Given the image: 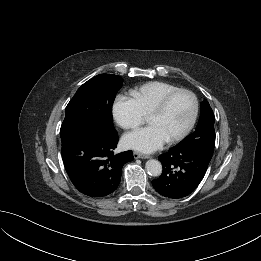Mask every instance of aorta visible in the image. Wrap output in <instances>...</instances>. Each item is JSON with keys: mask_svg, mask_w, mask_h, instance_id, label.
<instances>
[{"mask_svg": "<svg viewBox=\"0 0 261 261\" xmlns=\"http://www.w3.org/2000/svg\"><path fill=\"white\" fill-rule=\"evenodd\" d=\"M146 171L150 176H160L162 173V165L158 160L150 159L145 165Z\"/></svg>", "mask_w": 261, "mask_h": 261, "instance_id": "762f6f07", "label": "aorta"}]
</instances>
